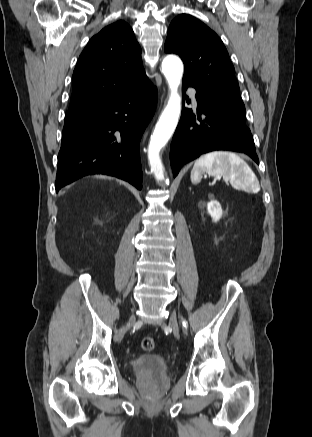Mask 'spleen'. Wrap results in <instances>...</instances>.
Here are the masks:
<instances>
[{
  "label": "spleen",
  "instance_id": "obj_1",
  "mask_svg": "<svg viewBox=\"0 0 312 437\" xmlns=\"http://www.w3.org/2000/svg\"><path fill=\"white\" fill-rule=\"evenodd\" d=\"M204 172L222 176L224 181L234 183L249 192L260 190L259 182L248 164L232 152L214 151L198 158L191 171V181L199 183Z\"/></svg>",
  "mask_w": 312,
  "mask_h": 437
}]
</instances>
